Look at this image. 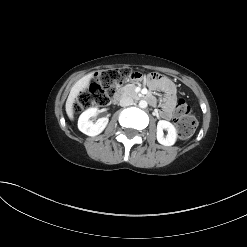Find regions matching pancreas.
<instances>
[{
  "label": "pancreas",
  "instance_id": "obj_1",
  "mask_svg": "<svg viewBox=\"0 0 247 247\" xmlns=\"http://www.w3.org/2000/svg\"><path fill=\"white\" fill-rule=\"evenodd\" d=\"M122 91L131 95H137L135 93V86L134 85H126L122 88Z\"/></svg>",
  "mask_w": 247,
  "mask_h": 247
}]
</instances>
